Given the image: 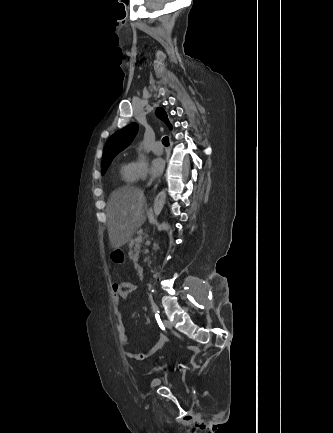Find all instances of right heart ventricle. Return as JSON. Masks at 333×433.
Segmentation results:
<instances>
[{"mask_svg":"<svg viewBox=\"0 0 333 433\" xmlns=\"http://www.w3.org/2000/svg\"><path fill=\"white\" fill-rule=\"evenodd\" d=\"M119 172L121 180L125 184H132L135 181L131 171L130 163H121L119 165Z\"/></svg>","mask_w":333,"mask_h":433,"instance_id":"right-heart-ventricle-1","label":"right heart ventricle"}]
</instances>
